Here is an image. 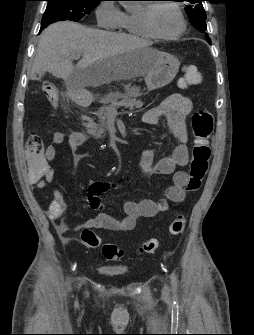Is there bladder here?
I'll use <instances>...</instances> for the list:
<instances>
[{
	"instance_id": "31cf9c89",
	"label": "bladder",
	"mask_w": 254,
	"mask_h": 335,
	"mask_svg": "<svg viewBox=\"0 0 254 335\" xmlns=\"http://www.w3.org/2000/svg\"><path fill=\"white\" fill-rule=\"evenodd\" d=\"M98 271L104 275L109 276H121L126 274V269L123 268H115V267H107V266H100Z\"/></svg>"
}]
</instances>
